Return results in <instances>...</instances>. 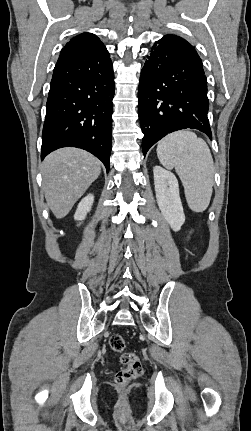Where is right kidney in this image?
I'll return each instance as SVG.
<instances>
[{"label": "right kidney", "mask_w": 251, "mask_h": 431, "mask_svg": "<svg viewBox=\"0 0 251 431\" xmlns=\"http://www.w3.org/2000/svg\"><path fill=\"white\" fill-rule=\"evenodd\" d=\"M93 201H94L93 194H88L86 197H84L78 204V207L74 215V219L77 221H83L87 213L91 210Z\"/></svg>", "instance_id": "right-kidney-1"}]
</instances>
